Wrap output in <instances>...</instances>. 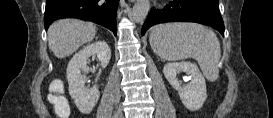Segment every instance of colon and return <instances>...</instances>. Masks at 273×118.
Segmentation results:
<instances>
[{
  "label": "colon",
  "mask_w": 273,
  "mask_h": 118,
  "mask_svg": "<svg viewBox=\"0 0 273 118\" xmlns=\"http://www.w3.org/2000/svg\"><path fill=\"white\" fill-rule=\"evenodd\" d=\"M51 94L49 101L54 106L56 113L61 117H67L69 115L70 109L66 98L60 94L61 84L54 83L51 85Z\"/></svg>",
  "instance_id": "colon-1"
}]
</instances>
